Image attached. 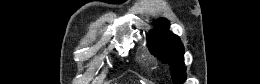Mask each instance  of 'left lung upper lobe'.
Here are the masks:
<instances>
[{
    "instance_id": "1",
    "label": "left lung upper lobe",
    "mask_w": 260,
    "mask_h": 84,
    "mask_svg": "<svg viewBox=\"0 0 260 84\" xmlns=\"http://www.w3.org/2000/svg\"><path fill=\"white\" fill-rule=\"evenodd\" d=\"M166 19L156 22V28L148 35V46L152 54L159 56L164 63H169L173 82L181 84L186 79L183 62L184 47L178 36L168 31Z\"/></svg>"
}]
</instances>
